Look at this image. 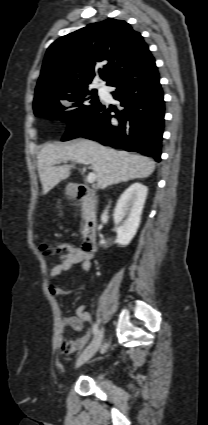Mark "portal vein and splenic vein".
I'll use <instances>...</instances> for the list:
<instances>
[{
	"instance_id": "18ae733b",
	"label": "portal vein and splenic vein",
	"mask_w": 208,
	"mask_h": 425,
	"mask_svg": "<svg viewBox=\"0 0 208 425\" xmlns=\"http://www.w3.org/2000/svg\"><path fill=\"white\" fill-rule=\"evenodd\" d=\"M78 163L83 164V165H88L89 163L84 161V160H77ZM96 180V174L94 172H90L87 176V182L89 184H93Z\"/></svg>"
}]
</instances>
